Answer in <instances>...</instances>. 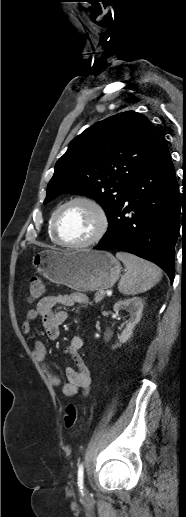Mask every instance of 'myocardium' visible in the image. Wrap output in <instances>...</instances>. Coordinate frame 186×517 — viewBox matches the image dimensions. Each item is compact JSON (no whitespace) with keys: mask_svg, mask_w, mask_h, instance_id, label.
Wrapping results in <instances>:
<instances>
[{"mask_svg":"<svg viewBox=\"0 0 186 517\" xmlns=\"http://www.w3.org/2000/svg\"><path fill=\"white\" fill-rule=\"evenodd\" d=\"M77 203L85 204L94 211V213L96 214V217H97V227H96V230L93 233V235L90 238L86 239L85 241H82L79 243H70V242L64 241L61 238V236L59 235L58 220H59L60 214L62 213V211L65 208H67L70 205L77 204ZM108 226H109V218H108L106 210L96 199H94L90 196H76V197H73L70 200L64 202L62 205H60L56 209V211L52 217V223H51L52 234H53L56 242L63 247L72 248V249L86 248V247H90V246L98 243L106 234V232L108 230Z\"/></svg>","mask_w":186,"mask_h":517,"instance_id":"obj_1","label":"myocardium"}]
</instances>
